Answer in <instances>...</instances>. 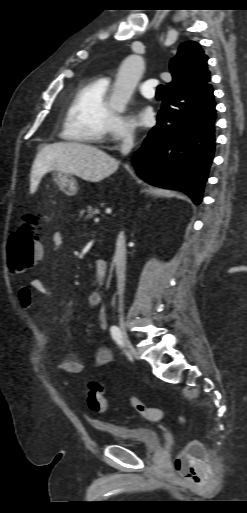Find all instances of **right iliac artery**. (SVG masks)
Returning <instances> with one entry per match:
<instances>
[{
    "label": "right iliac artery",
    "instance_id": "1",
    "mask_svg": "<svg viewBox=\"0 0 247 513\" xmlns=\"http://www.w3.org/2000/svg\"><path fill=\"white\" fill-rule=\"evenodd\" d=\"M110 332H111V335H112V338L114 339V341L120 346V347H124L125 344H124V341H123V336H122V333L120 331V329L117 327V326H112L110 328Z\"/></svg>",
    "mask_w": 247,
    "mask_h": 513
}]
</instances>
